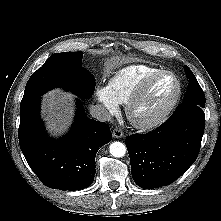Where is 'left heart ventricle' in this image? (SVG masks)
Segmentation results:
<instances>
[{
    "label": "left heart ventricle",
    "mask_w": 221,
    "mask_h": 221,
    "mask_svg": "<svg viewBox=\"0 0 221 221\" xmlns=\"http://www.w3.org/2000/svg\"><path fill=\"white\" fill-rule=\"evenodd\" d=\"M175 91L176 82L172 76L166 75L155 80L136 107V118L145 120L158 114L172 99Z\"/></svg>",
    "instance_id": "b2bd125f"
}]
</instances>
